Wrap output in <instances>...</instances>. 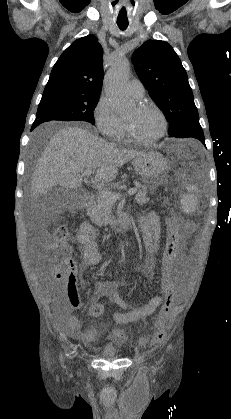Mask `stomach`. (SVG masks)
I'll return each mask as SVG.
<instances>
[{
  "label": "stomach",
  "mask_w": 231,
  "mask_h": 419,
  "mask_svg": "<svg viewBox=\"0 0 231 419\" xmlns=\"http://www.w3.org/2000/svg\"><path fill=\"white\" fill-rule=\"evenodd\" d=\"M135 171L152 189L165 181L168 163L166 158L155 150L145 151L133 160Z\"/></svg>",
  "instance_id": "obj_1"
}]
</instances>
